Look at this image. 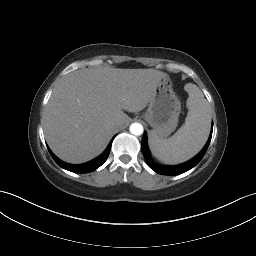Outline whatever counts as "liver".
<instances>
[{"label": "liver", "mask_w": 256, "mask_h": 256, "mask_svg": "<svg viewBox=\"0 0 256 256\" xmlns=\"http://www.w3.org/2000/svg\"><path fill=\"white\" fill-rule=\"evenodd\" d=\"M163 72L108 66L79 69L54 88L42 116L46 141L61 160L80 164L100 155L116 128L149 103Z\"/></svg>", "instance_id": "1"}]
</instances>
